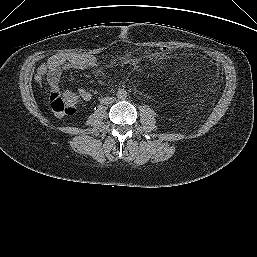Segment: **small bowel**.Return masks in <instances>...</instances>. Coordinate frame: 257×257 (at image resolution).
<instances>
[{"instance_id": "1", "label": "small bowel", "mask_w": 257, "mask_h": 257, "mask_svg": "<svg viewBox=\"0 0 257 257\" xmlns=\"http://www.w3.org/2000/svg\"><path fill=\"white\" fill-rule=\"evenodd\" d=\"M96 66L97 58L92 54H54L39 66L35 80L41 84L45 79L51 91H58L59 81L64 72L84 71ZM78 91L84 100L91 98V94L87 90L80 88Z\"/></svg>"}]
</instances>
